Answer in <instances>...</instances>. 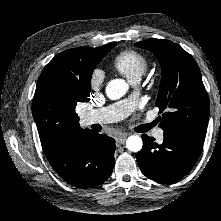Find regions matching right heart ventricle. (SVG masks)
Here are the masks:
<instances>
[{
    "label": "right heart ventricle",
    "instance_id": "obj_1",
    "mask_svg": "<svg viewBox=\"0 0 221 221\" xmlns=\"http://www.w3.org/2000/svg\"><path fill=\"white\" fill-rule=\"evenodd\" d=\"M148 59L139 51L127 49L112 59L113 67L124 75L130 83L139 81L148 68Z\"/></svg>",
    "mask_w": 221,
    "mask_h": 221
}]
</instances>
